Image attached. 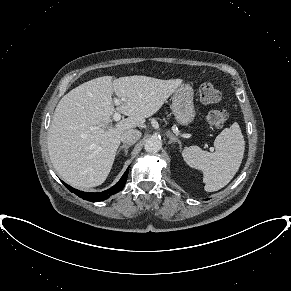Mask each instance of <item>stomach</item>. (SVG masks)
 I'll use <instances>...</instances> for the list:
<instances>
[{"label": "stomach", "instance_id": "0dacf381", "mask_svg": "<svg viewBox=\"0 0 291 291\" xmlns=\"http://www.w3.org/2000/svg\"><path fill=\"white\" fill-rule=\"evenodd\" d=\"M193 94V89L188 84H182L174 91L172 112L177 123L182 126L189 125L195 118Z\"/></svg>", "mask_w": 291, "mask_h": 291}]
</instances>
